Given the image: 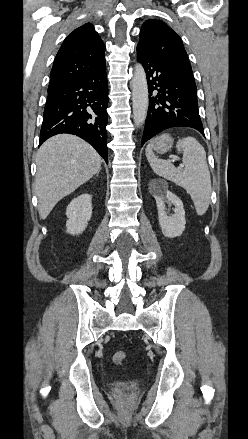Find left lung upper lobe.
Here are the masks:
<instances>
[{"instance_id": "left-lung-upper-lobe-1", "label": "left lung upper lobe", "mask_w": 248, "mask_h": 439, "mask_svg": "<svg viewBox=\"0 0 248 439\" xmlns=\"http://www.w3.org/2000/svg\"><path fill=\"white\" fill-rule=\"evenodd\" d=\"M137 46L156 58L192 72L181 38L162 21L155 19L145 21Z\"/></svg>"}]
</instances>
